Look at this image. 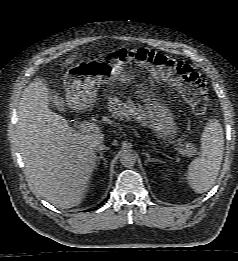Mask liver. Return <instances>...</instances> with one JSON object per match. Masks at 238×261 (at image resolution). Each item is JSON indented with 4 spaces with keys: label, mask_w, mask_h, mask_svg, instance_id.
I'll return each mask as SVG.
<instances>
[{
    "label": "liver",
    "mask_w": 238,
    "mask_h": 261,
    "mask_svg": "<svg viewBox=\"0 0 238 261\" xmlns=\"http://www.w3.org/2000/svg\"><path fill=\"white\" fill-rule=\"evenodd\" d=\"M63 109V100L52 96L48 85L36 78L23 91L18 107L17 144L28 183L36 195L54 206H78L96 167L95 147L101 131L81 133L52 112L49 100Z\"/></svg>",
    "instance_id": "1"
}]
</instances>
